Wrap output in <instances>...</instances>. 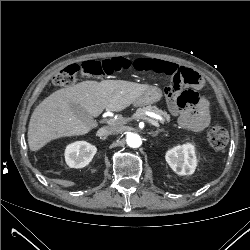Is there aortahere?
Returning <instances> with one entry per match:
<instances>
[{
    "instance_id": "obj_1",
    "label": "aorta",
    "mask_w": 250,
    "mask_h": 250,
    "mask_svg": "<svg viewBox=\"0 0 250 250\" xmlns=\"http://www.w3.org/2000/svg\"><path fill=\"white\" fill-rule=\"evenodd\" d=\"M128 146L132 148H137L141 145L142 139L138 134L129 133L126 138Z\"/></svg>"
}]
</instances>
